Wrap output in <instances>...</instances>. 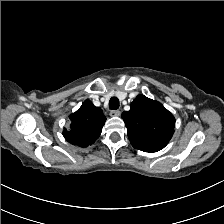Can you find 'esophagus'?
Returning a JSON list of instances; mask_svg holds the SVG:
<instances>
[{"label":"esophagus","instance_id":"34e87169","mask_svg":"<svg viewBox=\"0 0 224 224\" xmlns=\"http://www.w3.org/2000/svg\"><path fill=\"white\" fill-rule=\"evenodd\" d=\"M110 115H111V116L118 117V116L121 115V111H120V110H114V111H111V112H110Z\"/></svg>","mask_w":224,"mask_h":224}]
</instances>
